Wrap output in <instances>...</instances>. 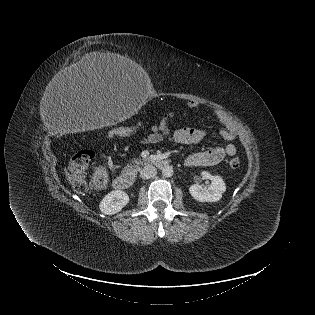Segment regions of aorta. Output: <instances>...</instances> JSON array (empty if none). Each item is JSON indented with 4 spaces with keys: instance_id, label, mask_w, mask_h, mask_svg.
<instances>
[{
    "instance_id": "aorta-1",
    "label": "aorta",
    "mask_w": 315,
    "mask_h": 315,
    "mask_svg": "<svg viewBox=\"0 0 315 315\" xmlns=\"http://www.w3.org/2000/svg\"><path fill=\"white\" fill-rule=\"evenodd\" d=\"M173 172L174 171H173L172 166H165L162 169V175L167 178L171 177L173 175Z\"/></svg>"
}]
</instances>
